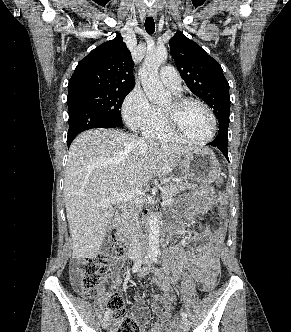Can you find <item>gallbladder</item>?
I'll use <instances>...</instances> for the list:
<instances>
[{
	"mask_svg": "<svg viewBox=\"0 0 291 332\" xmlns=\"http://www.w3.org/2000/svg\"><path fill=\"white\" fill-rule=\"evenodd\" d=\"M109 228H110V229L112 228V223L109 224Z\"/></svg>",
	"mask_w": 291,
	"mask_h": 332,
	"instance_id": "gallbladder-1",
	"label": "gallbladder"
}]
</instances>
